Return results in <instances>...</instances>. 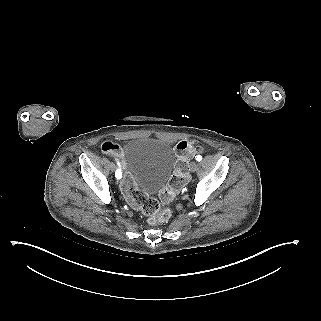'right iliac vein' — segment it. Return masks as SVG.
Listing matches in <instances>:
<instances>
[{"instance_id": "63e3f726", "label": "right iliac vein", "mask_w": 321, "mask_h": 321, "mask_svg": "<svg viewBox=\"0 0 321 321\" xmlns=\"http://www.w3.org/2000/svg\"><path fill=\"white\" fill-rule=\"evenodd\" d=\"M115 168H116L115 164H114V163H111V164H110V169H111V171H114Z\"/></svg>"}]
</instances>
